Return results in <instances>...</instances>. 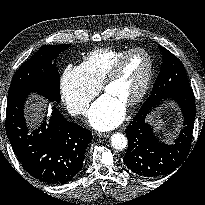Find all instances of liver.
I'll use <instances>...</instances> for the list:
<instances>
[{"mask_svg":"<svg viewBox=\"0 0 205 205\" xmlns=\"http://www.w3.org/2000/svg\"><path fill=\"white\" fill-rule=\"evenodd\" d=\"M32 98L34 100L26 108L29 115V121H31V123L37 124L43 117L46 104L44 99L36 94L33 95Z\"/></svg>","mask_w":205,"mask_h":205,"instance_id":"1","label":"liver"}]
</instances>
